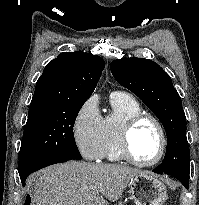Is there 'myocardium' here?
<instances>
[{"label":"myocardium","instance_id":"myocardium-1","mask_svg":"<svg viewBox=\"0 0 199 205\" xmlns=\"http://www.w3.org/2000/svg\"><path fill=\"white\" fill-rule=\"evenodd\" d=\"M143 121L152 122L156 126L160 136L159 153L154 160L149 162H141L137 160L133 156L130 147V139H131L132 132L136 128V126ZM167 144H168L167 136L162 123L155 116L151 114H147L143 112L135 114L129 117L128 119H126L120 128L119 137H118V148H119L120 155L125 161L135 166L150 167L158 164L163 159L166 153Z\"/></svg>","mask_w":199,"mask_h":205}]
</instances>
